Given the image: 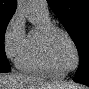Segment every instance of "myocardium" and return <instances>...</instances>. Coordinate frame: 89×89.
Segmentation results:
<instances>
[{
	"label": "myocardium",
	"mask_w": 89,
	"mask_h": 89,
	"mask_svg": "<svg viewBox=\"0 0 89 89\" xmlns=\"http://www.w3.org/2000/svg\"><path fill=\"white\" fill-rule=\"evenodd\" d=\"M58 34L65 36L75 51L76 64L72 69L61 70L59 68L57 61H56V58H55L54 53H53V41H54V38ZM43 44H44V49H45L47 59L49 60V62L53 66V68L60 71L63 75H66L70 72H73L79 67V65H80L79 49H78L74 39L71 37V35L63 28L57 27L55 25L46 27L43 31Z\"/></svg>",
	"instance_id": "1"
}]
</instances>
